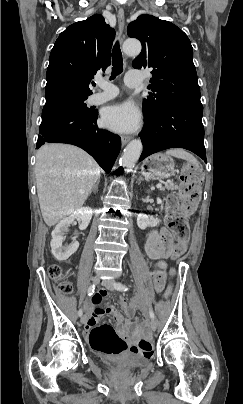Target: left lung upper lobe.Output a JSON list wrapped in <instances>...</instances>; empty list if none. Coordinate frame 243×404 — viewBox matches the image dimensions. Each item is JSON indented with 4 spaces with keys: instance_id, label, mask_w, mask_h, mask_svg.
<instances>
[{
    "instance_id": "left-lung-upper-lobe-1",
    "label": "left lung upper lobe",
    "mask_w": 243,
    "mask_h": 404,
    "mask_svg": "<svg viewBox=\"0 0 243 404\" xmlns=\"http://www.w3.org/2000/svg\"><path fill=\"white\" fill-rule=\"evenodd\" d=\"M127 33L142 44V51L132 66L152 69L148 89L154 93H149L143 101L145 120H153L172 103L201 104L193 48L181 29L171 22L143 14L128 25Z\"/></svg>"
}]
</instances>
